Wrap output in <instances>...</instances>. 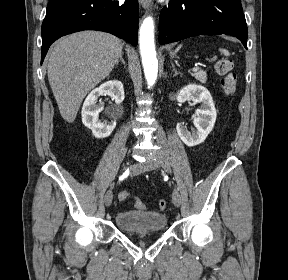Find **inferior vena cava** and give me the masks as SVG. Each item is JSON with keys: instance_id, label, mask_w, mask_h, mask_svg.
Returning a JSON list of instances; mask_svg holds the SVG:
<instances>
[{"instance_id": "602c4592", "label": "inferior vena cava", "mask_w": 288, "mask_h": 280, "mask_svg": "<svg viewBox=\"0 0 288 280\" xmlns=\"http://www.w3.org/2000/svg\"><path fill=\"white\" fill-rule=\"evenodd\" d=\"M153 137L155 143H158V147L161 149L157 151V157L159 159H169V142H166V134L163 132V125H153Z\"/></svg>"}]
</instances>
